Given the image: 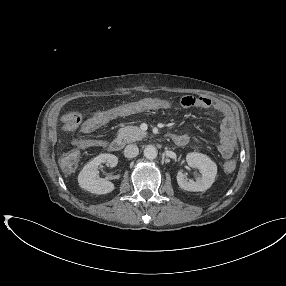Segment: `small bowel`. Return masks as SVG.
Segmentation results:
<instances>
[{
  "mask_svg": "<svg viewBox=\"0 0 286 286\" xmlns=\"http://www.w3.org/2000/svg\"><path fill=\"white\" fill-rule=\"evenodd\" d=\"M180 105L183 108L198 107L209 109L221 117V142L219 145V151L224 158H230L233 155L236 146V134L234 130V122L227 107L204 96H185L180 100ZM171 106L172 104L167 100L148 98L106 110L111 112L110 115H106L105 111L97 112L84 122L81 121V118L78 119V121L74 120L71 116L72 112H69L62 115L61 122L63 129L67 132H72L78 127H81L84 133H89L118 117L127 116L145 110L169 109ZM176 136L181 138L185 144L189 140L188 136L184 134H178ZM72 143L78 148L85 149L95 146H105L107 141L101 138L81 136L74 137L72 139Z\"/></svg>",
  "mask_w": 286,
  "mask_h": 286,
  "instance_id": "1",
  "label": "small bowel"
}]
</instances>
